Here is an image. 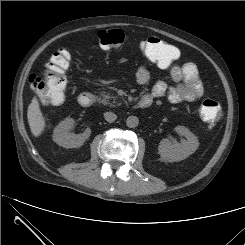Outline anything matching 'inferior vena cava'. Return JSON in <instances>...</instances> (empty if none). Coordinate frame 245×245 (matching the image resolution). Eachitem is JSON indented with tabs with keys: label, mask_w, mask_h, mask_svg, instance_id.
I'll return each mask as SVG.
<instances>
[{
	"label": "inferior vena cava",
	"mask_w": 245,
	"mask_h": 245,
	"mask_svg": "<svg viewBox=\"0 0 245 245\" xmlns=\"http://www.w3.org/2000/svg\"><path fill=\"white\" fill-rule=\"evenodd\" d=\"M104 118L107 122L112 123L117 119V116H116V114H114L112 112H105Z\"/></svg>",
	"instance_id": "602c4592"
}]
</instances>
